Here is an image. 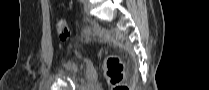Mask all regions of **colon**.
Listing matches in <instances>:
<instances>
[{
  "label": "colon",
  "instance_id": "5ec220e1",
  "mask_svg": "<svg viewBox=\"0 0 209 90\" xmlns=\"http://www.w3.org/2000/svg\"><path fill=\"white\" fill-rule=\"evenodd\" d=\"M58 38L65 41L70 36V27L65 19H59L56 23ZM104 71L112 90H130V86L124 81L125 65L120 57L109 55L105 58Z\"/></svg>",
  "mask_w": 209,
  "mask_h": 90
}]
</instances>
